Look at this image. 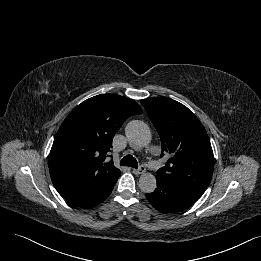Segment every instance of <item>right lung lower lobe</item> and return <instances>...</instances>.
<instances>
[{"label":"right lung lower lobe","mask_w":261,"mask_h":261,"mask_svg":"<svg viewBox=\"0 0 261 261\" xmlns=\"http://www.w3.org/2000/svg\"><path fill=\"white\" fill-rule=\"evenodd\" d=\"M116 179L113 183H111L109 186H107L105 189H103L100 193L91 196L89 198H86L84 200L73 202L75 206L82 207V208H92L101 202H103L111 193L116 181Z\"/></svg>","instance_id":"obj_1"}]
</instances>
